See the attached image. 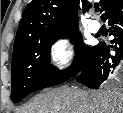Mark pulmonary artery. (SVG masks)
<instances>
[{
	"label": "pulmonary artery",
	"instance_id": "e3ab8cb5",
	"mask_svg": "<svg viewBox=\"0 0 123 113\" xmlns=\"http://www.w3.org/2000/svg\"><path fill=\"white\" fill-rule=\"evenodd\" d=\"M88 26H89L90 31L94 33L98 32L101 27L100 23L95 19L90 20Z\"/></svg>",
	"mask_w": 123,
	"mask_h": 113
}]
</instances>
